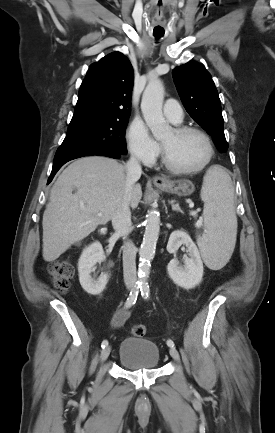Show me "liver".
Segmentation results:
<instances>
[{
    "instance_id": "obj_1",
    "label": "liver",
    "mask_w": 275,
    "mask_h": 433,
    "mask_svg": "<svg viewBox=\"0 0 275 433\" xmlns=\"http://www.w3.org/2000/svg\"><path fill=\"white\" fill-rule=\"evenodd\" d=\"M125 191L126 170L116 160L90 156L71 163L54 183L43 214L44 260L55 261L72 244L109 222ZM141 198V186L136 184L130 198L133 209Z\"/></svg>"
}]
</instances>
